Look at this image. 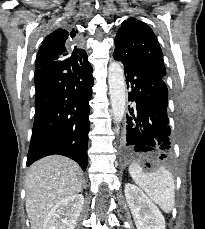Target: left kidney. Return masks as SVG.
<instances>
[{"label": "left kidney", "mask_w": 205, "mask_h": 229, "mask_svg": "<svg viewBox=\"0 0 205 229\" xmlns=\"http://www.w3.org/2000/svg\"><path fill=\"white\" fill-rule=\"evenodd\" d=\"M124 192L137 229H165L161 211L140 188L127 183Z\"/></svg>", "instance_id": "left-kidney-1"}]
</instances>
